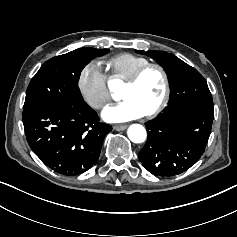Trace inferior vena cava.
I'll return each instance as SVG.
<instances>
[{"instance_id": "1", "label": "inferior vena cava", "mask_w": 237, "mask_h": 237, "mask_svg": "<svg viewBox=\"0 0 237 237\" xmlns=\"http://www.w3.org/2000/svg\"><path fill=\"white\" fill-rule=\"evenodd\" d=\"M104 103H105L104 101L97 102L96 103V107L100 108V107H102L104 105Z\"/></svg>"}]
</instances>
